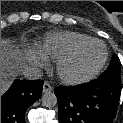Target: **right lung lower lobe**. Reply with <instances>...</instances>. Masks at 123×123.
<instances>
[{
	"label": "right lung lower lobe",
	"instance_id": "obj_1",
	"mask_svg": "<svg viewBox=\"0 0 123 123\" xmlns=\"http://www.w3.org/2000/svg\"><path fill=\"white\" fill-rule=\"evenodd\" d=\"M42 80H16L1 96V123H25V112L42 95Z\"/></svg>",
	"mask_w": 123,
	"mask_h": 123
}]
</instances>
